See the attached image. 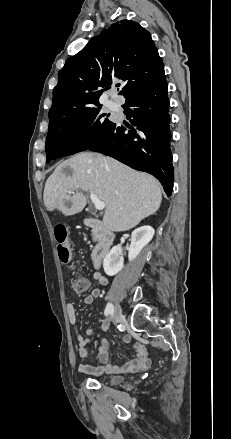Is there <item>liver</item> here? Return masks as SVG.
<instances>
[{"label":"liver","mask_w":231,"mask_h":439,"mask_svg":"<svg viewBox=\"0 0 231 439\" xmlns=\"http://www.w3.org/2000/svg\"><path fill=\"white\" fill-rule=\"evenodd\" d=\"M85 193H94L105 203L103 224L113 232L134 228L162 201L160 183L153 176L91 152L62 162L47 179L43 200L48 211L70 216L86 206Z\"/></svg>","instance_id":"6515ba94"}]
</instances>
